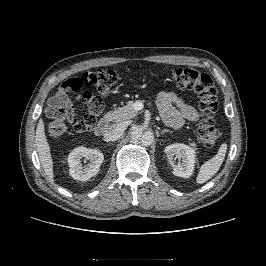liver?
<instances>
[{
	"mask_svg": "<svg viewBox=\"0 0 266 266\" xmlns=\"http://www.w3.org/2000/svg\"><path fill=\"white\" fill-rule=\"evenodd\" d=\"M36 147L41 165L50 182L54 181L53 159L51 156V148L45 135V125L40 118L36 128Z\"/></svg>",
	"mask_w": 266,
	"mask_h": 266,
	"instance_id": "6515ba94",
	"label": "liver"
}]
</instances>
